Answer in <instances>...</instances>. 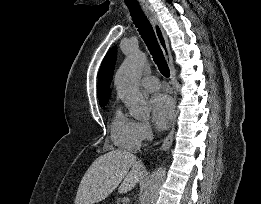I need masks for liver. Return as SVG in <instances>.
<instances>
[{
    "label": "liver",
    "mask_w": 261,
    "mask_h": 204,
    "mask_svg": "<svg viewBox=\"0 0 261 204\" xmlns=\"http://www.w3.org/2000/svg\"><path fill=\"white\" fill-rule=\"evenodd\" d=\"M145 168L130 152L113 150L99 156L84 174L74 204H94L104 200L119 185L126 193L143 180Z\"/></svg>",
    "instance_id": "obj_1"
}]
</instances>
